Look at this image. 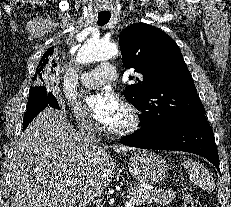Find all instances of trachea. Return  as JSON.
<instances>
[{"label":"trachea","instance_id":"1","mask_svg":"<svg viewBox=\"0 0 231 207\" xmlns=\"http://www.w3.org/2000/svg\"><path fill=\"white\" fill-rule=\"evenodd\" d=\"M111 18V14L110 13H98V25H105L106 23L109 22Z\"/></svg>","mask_w":231,"mask_h":207}]
</instances>
